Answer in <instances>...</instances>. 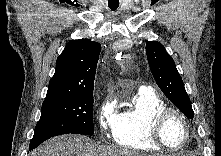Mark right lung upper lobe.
Returning a JSON list of instances; mask_svg holds the SVG:
<instances>
[{
	"mask_svg": "<svg viewBox=\"0 0 221 156\" xmlns=\"http://www.w3.org/2000/svg\"><path fill=\"white\" fill-rule=\"evenodd\" d=\"M101 45L89 39L71 40L58 56L45 99L93 91Z\"/></svg>",
	"mask_w": 221,
	"mask_h": 156,
	"instance_id": "right-lung-upper-lobe-1",
	"label": "right lung upper lobe"
}]
</instances>
